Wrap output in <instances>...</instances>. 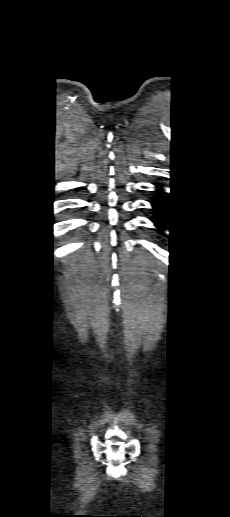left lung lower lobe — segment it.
Segmentation results:
<instances>
[{"mask_svg": "<svg viewBox=\"0 0 230 517\" xmlns=\"http://www.w3.org/2000/svg\"><path fill=\"white\" fill-rule=\"evenodd\" d=\"M154 210L157 211L159 214L166 216L168 214L169 208L167 206V203L163 199H157L153 203ZM157 227L160 229H165L166 227V221L165 220H159V217H155L152 220Z\"/></svg>", "mask_w": 230, "mask_h": 517, "instance_id": "1", "label": "left lung lower lobe"}]
</instances>
